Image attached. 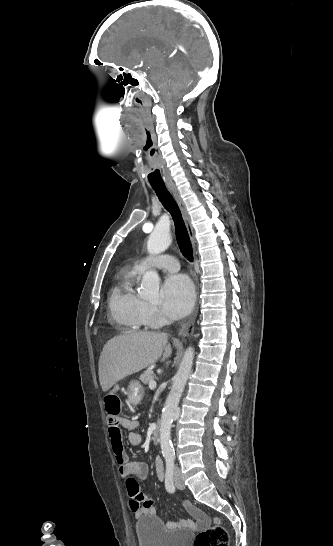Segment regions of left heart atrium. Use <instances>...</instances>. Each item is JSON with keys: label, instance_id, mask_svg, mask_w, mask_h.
<instances>
[{"label": "left heart atrium", "instance_id": "left-heart-atrium-1", "mask_svg": "<svg viewBox=\"0 0 333 546\" xmlns=\"http://www.w3.org/2000/svg\"><path fill=\"white\" fill-rule=\"evenodd\" d=\"M161 296L164 312L171 318H181L193 305V285L185 275H170L163 283Z\"/></svg>", "mask_w": 333, "mask_h": 546}]
</instances>
